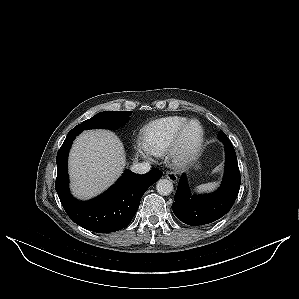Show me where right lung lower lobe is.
Masks as SVG:
<instances>
[{"instance_id":"98d812e1","label":"right lung lower lobe","mask_w":299,"mask_h":299,"mask_svg":"<svg viewBox=\"0 0 299 299\" xmlns=\"http://www.w3.org/2000/svg\"><path fill=\"white\" fill-rule=\"evenodd\" d=\"M81 131L72 129L57 153L55 188L68 216L78 225L97 233L115 232L125 228L135 215L147 189L162 176L159 170L145 175L126 171L103 195L91 201H78L68 188L67 158L75 137Z\"/></svg>"}]
</instances>
